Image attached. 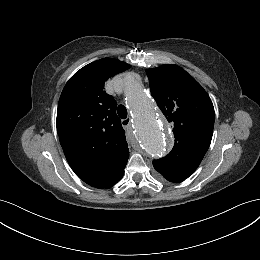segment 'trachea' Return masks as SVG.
<instances>
[{
	"label": "trachea",
	"instance_id": "obj_1",
	"mask_svg": "<svg viewBox=\"0 0 260 260\" xmlns=\"http://www.w3.org/2000/svg\"><path fill=\"white\" fill-rule=\"evenodd\" d=\"M117 113H118L120 118H122V119H126L127 118L128 112H127V109H126V107L124 105H119L118 106Z\"/></svg>",
	"mask_w": 260,
	"mask_h": 260
}]
</instances>
